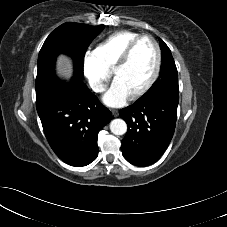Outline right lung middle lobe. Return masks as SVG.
Instances as JSON below:
<instances>
[{
  "label": "right lung middle lobe",
  "instance_id": "right-lung-middle-lobe-1",
  "mask_svg": "<svg viewBox=\"0 0 227 227\" xmlns=\"http://www.w3.org/2000/svg\"><path fill=\"white\" fill-rule=\"evenodd\" d=\"M104 25L90 26L67 22L57 27L45 40L39 56L36 88L55 78L54 64L59 54H67L74 60V77L83 78V61L87 47L101 33Z\"/></svg>",
  "mask_w": 227,
  "mask_h": 227
}]
</instances>
